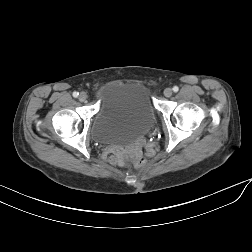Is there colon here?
Wrapping results in <instances>:
<instances>
[{"label":"colon","instance_id":"colon-1","mask_svg":"<svg viewBox=\"0 0 252 252\" xmlns=\"http://www.w3.org/2000/svg\"><path fill=\"white\" fill-rule=\"evenodd\" d=\"M131 163H132L135 167H141V166L145 165V163H146V158H145V156L136 154L135 156L132 157Z\"/></svg>","mask_w":252,"mask_h":252}]
</instances>
